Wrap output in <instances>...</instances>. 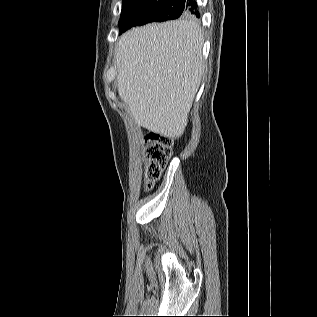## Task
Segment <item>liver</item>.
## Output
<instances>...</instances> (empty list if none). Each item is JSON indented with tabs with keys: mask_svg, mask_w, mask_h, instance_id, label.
<instances>
[{
	"mask_svg": "<svg viewBox=\"0 0 317 317\" xmlns=\"http://www.w3.org/2000/svg\"><path fill=\"white\" fill-rule=\"evenodd\" d=\"M203 41L200 25L187 19L121 36L115 52L118 94L138 125L181 137L204 71Z\"/></svg>",
	"mask_w": 317,
	"mask_h": 317,
	"instance_id": "1",
	"label": "liver"
}]
</instances>
